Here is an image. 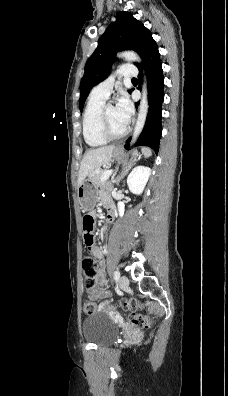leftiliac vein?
<instances>
[{
  "mask_svg": "<svg viewBox=\"0 0 228 396\" xmlns=\"http://www.w3.org/2000/svg\"><path fill=\"white\" fill-rule=\"evenodd\" d=\"M119 285L121 288H126L129 285V279L126 276H121L119 279Z\"/></svg>",
  "mask_w": 228,
  "mask_h": 396,
  "instance_id": "4c4485c4",
  "label": "left iliac vein"
}]
</instances>
